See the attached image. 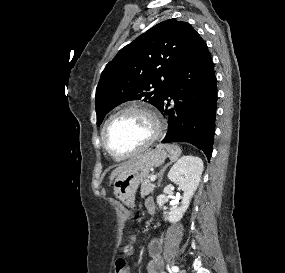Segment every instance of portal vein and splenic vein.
I'll use <instances>...</instances> for the list:
<instances>
[{
  "label": "portal vein and splenic vein",
  "mask_w": 285,
  "mask_h": 273,
  "mask_svg": "<svg viewBox=\"0 0 285 273\" xmlns=\"http://www.w3.org/2000/svg\"><path fill=\"white\" fill-rule=\"evenodd\" d=\"M156 178H157V175L155 174V175H152V176L150 177V180H151L152 182H154V181L156 180Z\"/></svg>",
  "instance_id": "portal-vein-and-splenic-vein-1"
}]
</instances>
